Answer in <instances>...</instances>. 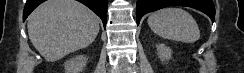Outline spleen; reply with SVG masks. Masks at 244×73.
I'll use <instances>...</instances> for the list:
<instances>
[{"label":"spleen","mask_w":244,"mask_h":73,"mask_svg":"<svg viewBox=\"0 0 244 73\" xmlns=\"http://www.w3.org/2000/svg\"><path fill=\"white\" fill-rule=\"evenodd\" d=\"M150 29L158 36L183 43H194L200 38L195 19L181 8L168 7L152 13Z\"/></svg>","instance_id":"3e777b00"}]
</instances>
